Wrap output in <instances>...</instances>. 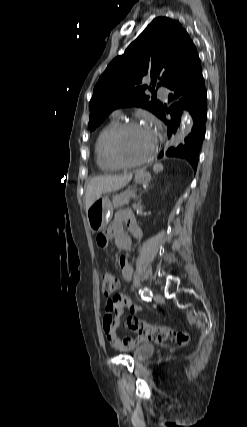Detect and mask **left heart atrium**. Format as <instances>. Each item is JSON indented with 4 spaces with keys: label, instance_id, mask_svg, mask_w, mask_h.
I'll return each mask as SVG.
<instances>
[{
    "label": "left heart atrium",
    "instance_id": "1",
    "mask_svg": "<svg viewBox=\"0 0 247 427\" xmlns=\"http://www.w3.org/2000/svg\"><path fill=\"white\" fill-rule=\"evenodd\" d=\"M147 129L151 132V134L153 135V137H156L157 134V125L154 121H152L150 123V126L147 127Z\"/></svg>",
    "mask_w": 247,
    "mask_h": 427
}]
</instances>
